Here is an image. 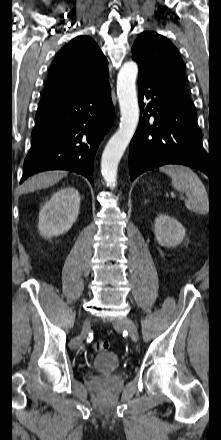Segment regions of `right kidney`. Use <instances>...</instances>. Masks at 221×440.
<instances>
[{"instance_id": "1", "label": "right kidney", "mask_w": 221, "mask_h": 440, "mask_svg": "<svg viewBox=\"0 0 221 440\" xmlns=\"http://www.w3.org/2000/svg\"><path fill=\"white\" fill-rule=\"evenodd\" d=\"M80 195L73 187L55 192L39 213L38 229L44 237L66 233L76 222L79 214Z\"/></svg>"}]
</instances>
